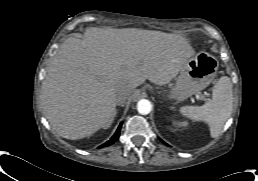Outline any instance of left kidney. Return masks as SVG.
Returning a JSON list of instances; mask_svg holds the SVG:
<instances>
[{
    "label": "left kidney",
    "instance_id": "left-kidney-1",
    "mask_svg": "<svg viewBox=\"0 0 258 181\" xmlns=\"http://www.w3.org/2000/svg\"><path fill=\"white\" fill-rule=\"evenodd\" d=\"M173 125L177 128L180 127H187L188 126V122L187 121H175L173 120Z\"/></svg>",
    "mask_w": 258,
    "mask_h": 181
}]
</instances>
